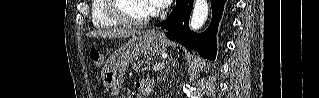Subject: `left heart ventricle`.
<instances>
[{
    "mask_svg": "<svg viewBox=\"0 0 319 98\" xmlns=\"http://www.w3.org/2000/svg\"><path fill=\"white\" fill-rule=\"evenodd\" d=\"M118 9L124 16L131 19H142L152 12L150 2L146 0H120Z\"/></svg>",
    "mask_w": 319,
    "mask_h": 98,
    "instance_id": "left-heart-ventricle-1",
    "label": "left heart ventricle"
}]
</instances>
